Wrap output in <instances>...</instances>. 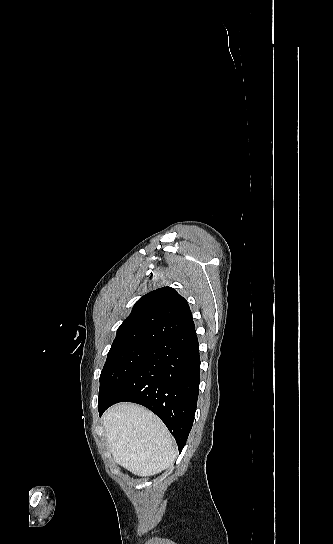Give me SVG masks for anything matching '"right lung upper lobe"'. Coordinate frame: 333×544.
<instances>
[{
	"instance_id": "cb5924a9",
	"label": "right lung upper lobe",
	"mask_w": 333,
	"mask_h": 544,
	"mask_svg": "<svg viewBox=\"0 0 333 544\" xmlns=\"http://www.w3.org/2000/svg\"><path fill=\"white\" fill-rule=\"evenodd\" d=\"M194 328L187 301L175 289L162 287L135 303L130 315L118 328L111 349L152 346Z\"/></svg>"
}]
</instances>
